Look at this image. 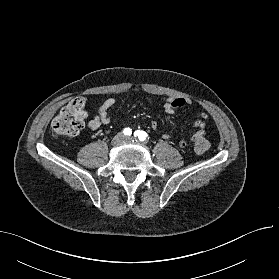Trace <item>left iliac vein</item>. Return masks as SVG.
Returning <instances> with one entry per match:
<instances>
[{
  "instance_id": "4c4485c4",
  "label": "left iliac vein",
  "mask_w": 279,
  "mask_h": 279,
  "mask_svg": "<svg viewBox=\"0 0 279 279\" xmlns=\"http://www.w3.org/2000/svg\"><path fill=\"white\" fill-rule=\"evenodd\" d=\"M132 140H133V139H132L131 137H125V138H124V141H125V142H131Z\"/></svg>"
}]
</instances>
